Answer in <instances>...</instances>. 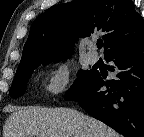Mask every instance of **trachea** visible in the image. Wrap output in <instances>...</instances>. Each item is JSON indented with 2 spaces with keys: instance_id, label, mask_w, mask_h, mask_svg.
Segmentation results:
<instances>
[{
  "instance_id": "trachea-1",
  "label": "trachea",
  "mask_w": 144,
  "mask_h": 137,
  "mask_svg": "<svg viewBox=\"0 0 144 137\" xmlns=\"http://www.w3.org/2000/svg\"><path fill=\"white\" fill-rule=\"evenodd\" d=\"M102 46H103V41L102 40H98L97 41V47H98V49H101Z\"/></svg>"
}]
</instances>
